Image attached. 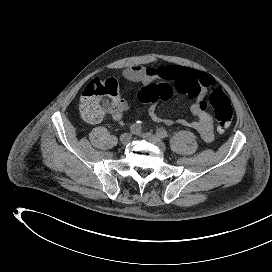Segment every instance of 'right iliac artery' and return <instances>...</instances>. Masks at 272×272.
I'll return each mask as SVG.
<instances>
[{"mask_svg": "<svg viewBox=\"0 0 272 272\" xmlns=\"http://www.w3.org/2000/svg\"><path fill=\"white\" fill-rule=\"evenodd\" d=\"M130 131L133 134H138L141 131V125L137 122L130 126Z\"/></svg>", "mask_w": 272, "mask_h": 272, "instance_id": "1", "label": "right iliac artery"}]
</instances>
